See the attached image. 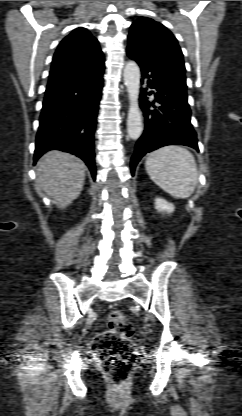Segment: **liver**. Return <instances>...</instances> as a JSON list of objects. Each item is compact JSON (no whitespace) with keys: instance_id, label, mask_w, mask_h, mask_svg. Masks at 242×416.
Returning a JSON list of instances; mask_svg holds the SVG:
<instances>
[{"instance_id":"6515ba94","label":"liver","mask_w":242,"mask_h":416,"mask_svg":"<svg viewBox=\"0 0 242 416\" xmlns=\"http://www.w3.org/2000/svg\"><path fill=\"white\" fill-rule=\"evenodd\" d=\"M86 166L76 156L62 151H50L37 163L40 188L58 208L70 205L81 193Z\"/></svg>"}]
</instances>
